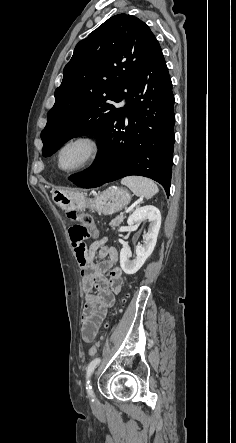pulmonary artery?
<instances>
[{"mask_svg":"<svg viewBox=\"0 0 236 443\" xmlns=\"http://www.w3.org/2000/svg\"><path fill=\"white\" fill-rule=\"evenodd\" d=\"M125 106H126V100H122V101L118 104V107H120V108H125Z\"/></svg>","mask_w":236,"mask_h":443,"instance_id":"pulmonary-artery-1","label":"pulmonary artery"}]
</instances>
